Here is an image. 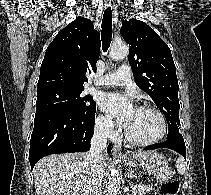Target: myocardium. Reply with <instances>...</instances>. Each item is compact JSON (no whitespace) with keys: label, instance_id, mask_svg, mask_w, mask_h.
I'll return each instance as SVG.
<instances>
[{"label":"myocardium","instance_id":"obj_1","mask_svg":"<svg viewBox=\"0 0 211 195\" xmlns=\"http://www.w3.org/2000/svg\"><path fill=\"white\" fill-rule=\"evenodd\" d=\"M137 109L148 110V111H152L155 114H157L158 117L160 118L161 125H162L161 133L156 138L151 139V140H145V141L144 140H138V139L134 138L129 133V131L127 130V128L125 126V128H124L125 138L129 142H131L132 144H135V145H138V146H150V145H153V144L160 142L166 136V133H167V130H168L167 120H166V117L163 114V112L161 110H159L158 108L151 106V105H141V106H138Z\"/></svg>","mask_w":211,"mask_h":195}]
</instances>
